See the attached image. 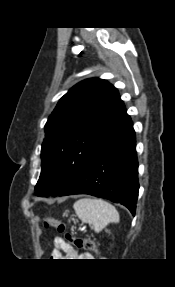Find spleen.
<instances>
[{
  "instance_id": "1",
  "label": "spleen",
  "mask_w": 175,
  "mask_h": 287,
  "mask_svg": "<svg viewBox=\"0 0 175 287\" xmlns=\"http://www.w3.org/2000/svg\"><path fill=\"white\" fill-rule=\"evenodd\" d=\"M73 208L78 218L92 225L95 232H100L109 223H118L119 214L109 202L96 198H82L77 200Z\"/></svg>"
}]
</instances>
